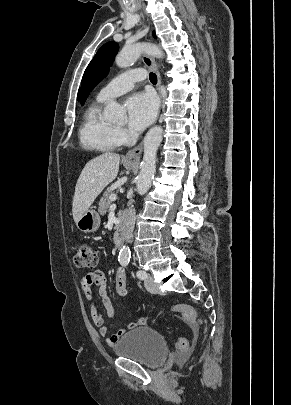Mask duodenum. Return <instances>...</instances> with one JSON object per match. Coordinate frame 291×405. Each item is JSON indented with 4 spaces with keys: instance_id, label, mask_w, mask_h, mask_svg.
<instances>
[{
    "instance_id": "410a0bca",
    "label": "duodenum",
    "mask_w": 291,
    "mask_h": 405,
    "mask_svg": "<svg viewBox=\"0 0 291 405\" xmlns=\"http://www.w3.org/2000/svg\"><path fill=\"white\" fill-rule=\"evenodd\" d=\"M122 239H123V229H122V228H119V229H117V231L115 232L114 240H113L114 246H115L116 248H119V247L121 246Z\"/></svg>"
}]
</instances>
